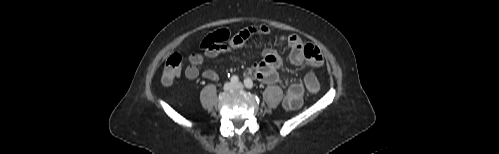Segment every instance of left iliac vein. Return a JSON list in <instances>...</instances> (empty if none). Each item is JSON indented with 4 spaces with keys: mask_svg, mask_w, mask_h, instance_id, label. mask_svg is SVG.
<instances>
[{
    "mask_svg": "<svg viewBox=\"0 0 499 154\" xmlns=\"http://www.w3.org/2000/svg\"><path fill=\"white\" fill-rule=\"evenodd\" d=\"M235 88L242 89L243 88V84L242 83H237V84H235Z\"/></svg>",
    "mask_w": 499,
    "mask_h": 154,
    "instance_id": "left-iliac-vein-1",
    "label": "left iliac vein"
}]
</instances>
